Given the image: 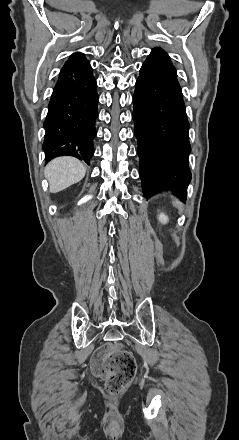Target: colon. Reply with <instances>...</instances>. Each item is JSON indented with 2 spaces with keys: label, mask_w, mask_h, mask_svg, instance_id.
Here are the masks:
<instances>
[{
  "label": "colon",
  "mask_w": 239,
  "mask_h": 440,
  "mask_svg": "<svg viewBox=\"0 0 239 440\" xmlns=\"http://www.w3.org/2000/svg\"><path fill=\"white\" fill-rule=\"evenodd\" d=\"M136 360L127 350L115 345H104L93 355V372L106 381L111 393L120 392L136 373Z\"/></svg>",
  "instance_id": "obj_1"
}]
</instances>
